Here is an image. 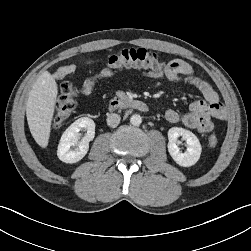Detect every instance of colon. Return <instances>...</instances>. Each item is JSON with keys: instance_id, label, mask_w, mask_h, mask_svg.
I'll list each match as a JSON object with an SVG mask.
<instances>
[{"instance_id": "colon-1", "label": "colon", "mask_w": 251, "mask_h": 251, "mask_svg": "<svg viewBox=\"0 0 251 251\" xmlns=\"http://www.w3.org/2000/svg\"><path fill=\"white\" fill-rule=\"evenodd\" d=\"M166 64L155 52L144 48H130L117 52L109 57L107 61L108 69H122L127 67H141L153 71H162ZM61 93L55 104V112L52 125L54 128L61 127L75 109L78 91L70 81L61 85ZM218 139L211 135L208 140L210 147H215Z\"/></svg>"}]
</instances>
